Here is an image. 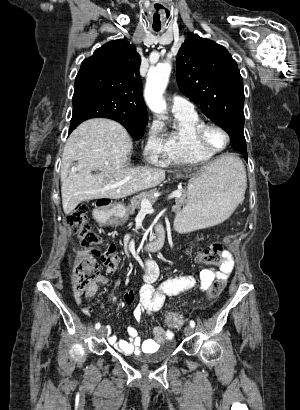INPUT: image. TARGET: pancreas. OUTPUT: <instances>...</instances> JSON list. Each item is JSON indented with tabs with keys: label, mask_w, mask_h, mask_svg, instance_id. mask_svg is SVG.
Returning a JSON list of instances; mask_svg holds the SVG:
<instances>
[{
	"label": "pancreas",
	"mask_w": 300,
	"mask_h": 410,
	"mask_svg": "<svg viewBox=\"0 0 300 410\" xmlns=\"http://www.w3.org/2000/svg\"><path fill=\"white\" fill-rule=\"evenodd\" d=\"M180 191L182 192V195L175 199V205L172 207V210L174 212H179L181 210V207L187 201L186 190L181 189ZM143 198H147L150 201V203H154L156 201V197L153 195V192H143L141 194H138L137 196H134L131 199L130 205L127 207L128 211L133 213L135 209H139Z\"/></svg>",
	"instance_id": "pancreas-1"
}]
</instances>
